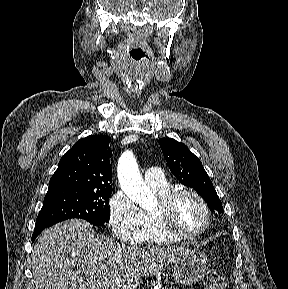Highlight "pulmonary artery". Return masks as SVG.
Listing matches in <instances>:
<instances>
[{
	"mask_svg": "<svg viewBox=\"0 0 288 289\" xmlns=\"http://www.w3.org/2000/svg\"><path fill=\"white\" fill-rule=\"evenodd\" d=\"M144 180L150 187H163L167 184L163 170L158 167L148 168L144 173Z\"/></svg>",
	"mask_w": 288,
	"mask_h": 289,
	"instance_id": "e3ab8cb5",
	"label": "pulmonary artery"
}]
</instances>
